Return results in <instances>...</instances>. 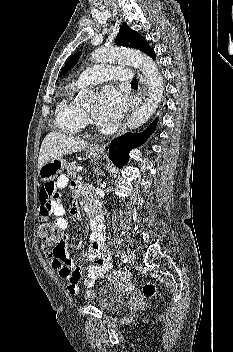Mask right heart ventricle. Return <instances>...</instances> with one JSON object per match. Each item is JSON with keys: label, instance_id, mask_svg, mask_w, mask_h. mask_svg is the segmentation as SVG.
Wrapping results in <instances>:
<instances>
[{"label": "right heart ventricle", "instance_id": "1", "mask_svg": "<svg viewBox=\"0 0 233 352\" xmlns=\"http://www.w3.org/2000/svg\"><path fill=\"white\" fill-rule=\"evenodd\" d=\"M76 83H70L65 89L63 98L57 105L55 119L58 128L70 135L80 133L85 126L83 110L73 101V94L79 88Z\"/></svg>", "mask_w": 233, "mask_h": 352}]
</instances>
